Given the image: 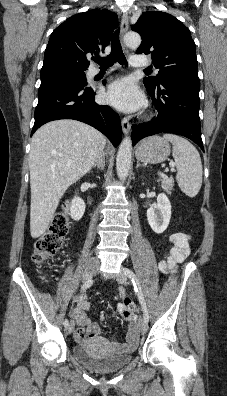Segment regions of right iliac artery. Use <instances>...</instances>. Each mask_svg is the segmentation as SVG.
<instances>
[{
    "instance_id": "1",
    "label": "right iliac artery",
    "mask_w": 227,
    "mask_h": 396,
    "mask_svg": "<svg viewBox=\"0 0 227 396\" xmlns=\"http://www.w3.org/2000/svg\"><path fill=\"white\" fill-rule=\"evenodd\" d=\"M93 284L92 280H88L86 281L82 286H81V291H85L86 289H88L89 287H91V285ZM64 326L66 327L69 324L68 319H65L63 322Z\"/></svg>"
}]
</instances>
